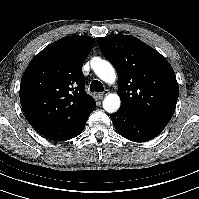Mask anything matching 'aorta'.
I'll return each mask as SVG.
<instances>
[{
    "mask_svg": "<svg viewBox=\"0 0 199 199\" xmlns=\"http://www.w3.org/2000/svg\"><path fill=\"white\" fill-rule=\"evenodd\" d=\"M91 66L95 74L105 83L113 84L116 80V73L110 62L100 58H93ZM121 101L118 94H108L103 101V108L108 113L116 112L120 107Z\"/></svg>",
    "mask_w": 199,
    "mask_h": 199,
    "instance_id": "762f6f07",
    "label": "aorta"
}]
</instances>
